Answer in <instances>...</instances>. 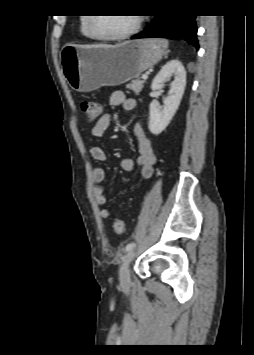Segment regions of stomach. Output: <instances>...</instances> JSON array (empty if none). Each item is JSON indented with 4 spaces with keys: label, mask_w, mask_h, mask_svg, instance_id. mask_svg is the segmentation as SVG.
<instances>
[{
    "label": "stomach",
    "mask_w": 254,
    "mask_h": 355,
    "mask_svg": "<svg viewBox=\"0 0 254 355\" xmlns=\"http://www.w3.org/2000/svg\"><path fill=\"white\" fill-rule=\"evenodd\" d=\"M167 48L165 39H140L110 47L66 45L60 52V62L72 89L91 92L139 76L157 64Z\"/></svg>",
    "instance_id": "0dacf381"
}]
</instances>
